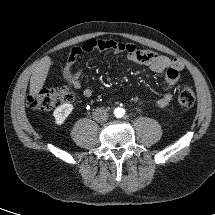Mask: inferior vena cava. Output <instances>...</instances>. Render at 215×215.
Instances as JSON below:
<instances>
[{
  "label": "inferior vena cava",
  "instance_id": "obj_1",
  "mask_svg": "<svg viewBox=\"0 0 215 215\" xmlns=\"http://www.w3.org/2000/svg\"><path fill=\"white\" fill-rule=\"evenodd\" d=\"M93 118L97 122H105L108 119V113L104 108H96L93 111Z\"/></svg>",
  "mask_w": 215,
  "mask_h": 215
}]
</instances>
